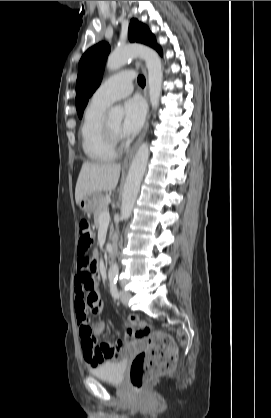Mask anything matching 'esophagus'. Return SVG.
<instances>
[{
	"label": "esophagus",
	"mask_w": 271,
	"mask_h": 418,
	"mask_svg": "<svg viewBox=\"0 0 271 418\" xmlns=\"http://www.w3.org/2000/svg\"><path fill=\"white\" fill-rule=\"evenodd\" d=\"M138 65L142 68L143 74L146 78V87H145V90H144V95H145V98L148 102V112H147V118H146V122H145V125H144V128H143V131H142L141 135L139 136V138L137 139V141L135 142V144L132 147L129 154L125 157L124 162H123L124 166H128L130 164L135 152L137 151L139 145L142 143V141H143V139H144V137L147 133L148 126H149L150 107H149V98H148V73H147L146 67L143 65V63L141 61L138 62Z\"/></svg>",
	"instance_id": "1"
}]
</instances>
